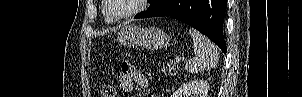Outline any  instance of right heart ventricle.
Returning a JSON list of instances; mask_svg holds the SVG:
<instances>
[{
    "instance_id": "1",
    "label": "right heart ventricle",
    "mask_w": 302,
    "mask_h": 97,
    "mask_svg": "<svg viewBox=\"0 0 302 97\" xmlns=\"http://www.w3.org/2000/svg\"><path fill=\"white\" fill-rule=\"evenodd\" d=\"M105 20H106V22H108V23H111L112 22V20L106 15V17H105Z\"/></svg>"
}]
</instances>
